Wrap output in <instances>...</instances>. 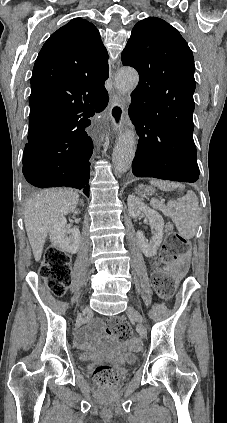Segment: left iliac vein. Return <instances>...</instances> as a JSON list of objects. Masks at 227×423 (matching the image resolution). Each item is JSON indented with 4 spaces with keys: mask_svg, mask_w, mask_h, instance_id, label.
Masks as SVG:
<instances>
[{
    "mask_svg": "<svg viewBox=\"0 0 227 423\" xmlns=\"http://www.w3.org/2000/svg\"><path fill=\"white\" fill-rule=\"evenodd\" d=\"M127 315L133 318L139 325L144 323L141 313L132 307L127 308Z\"/></svg>",
    "mask_w": 227,
    "mask_h": 423,
    "instance_id": "obj_1",
    "label": "left iliac vein"
}]
</instances>
